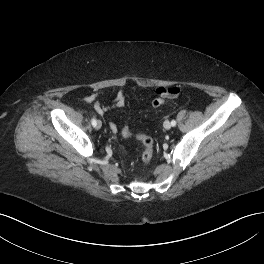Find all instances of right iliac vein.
<instances>
[{
    "label": "right iliac vein",
    "instance_id": "63e3f726",
    "mask_svg": "<svg viewBox=\"0 0 264 264\" xmlns=\"http://www.w3.org/2000/svg\"><path fill=\"white\" fill-rule=\"evenodd\" d=\"M102 127V122L100 120L97 121L96 128L100 129Z\"/></svg>",
    "mask_w": 264,
    "mask_h": 264
}]
</instances>
